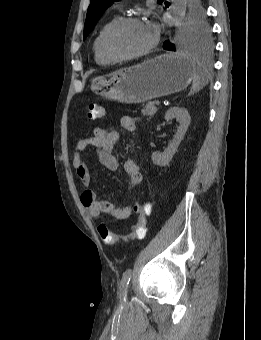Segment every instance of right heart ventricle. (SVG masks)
<instances>
[{"label":"right heart ventricle","instance_id":"1","mask_svg":"<svg viewBox=\"0 0 261 340\" xmlns=\"http://www.w3.org/2000/svg\"><path fill=\"white\" fill-rule=\"evenodd\" d=\"M117 19H119V17L117 15H114L112 17H110L107 21H105L103 23V25L100 27L94 42H93V52H94V58L95 61L98 65L101 66H107V65H111L113 64L115 61H113L112 59L108 58L102 51L101 48V40H102V36L105 33V31L107 30V28L114 23Z\"/></svg>","mask_w":261,"mask_h":340}]
</instances>
